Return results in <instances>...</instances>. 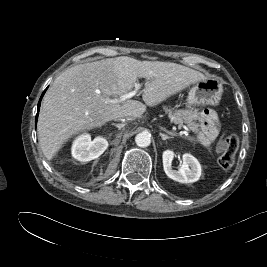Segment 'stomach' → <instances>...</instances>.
I'll return each instance as SVG.
<instances>
[{
    "label": "stomach",
    "instance_id": "1",
    "mask_svg": "<svg viewBox=\"0 0 267 267\" xmlns=\"http://www.w3.org/2000/svg\"><path fill=\"white\" fill-rule=\"evenodd\" d=\"M223 93V86L219 78L205 77L193 83L188 99V105H217Z\"/></svg>",
    "mask_w": 267,
    "mask_h": 267
}]
</instances>
